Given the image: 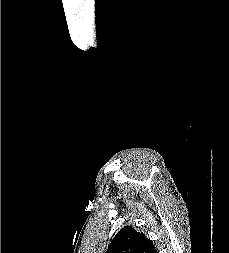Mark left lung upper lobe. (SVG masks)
Masks as SVG:
<instances>
[{
  "instance_id": "obj_1",
  "label": "left lung upper lobe",
  "mask_w": 229,
  "mask_h": 253,
  "mask_svg": "<svg viewBox=\"0 0 229 253\" xmlns=\"http://www.w3.org/2000/svg\"><path fill=\"white\" fill-rule=\"evenodd\" d=\"M106 253H156V249L143 233L125 226L116 234Z\"/></svg>"
}]
</instances>
